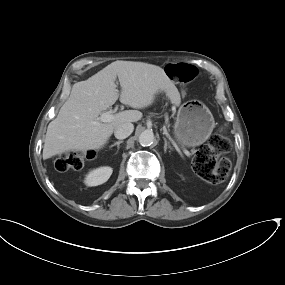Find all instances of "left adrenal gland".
Returning <instances> with one entry per match:
<instances>
[{
	"mask_svg": "<svg viewBox=\"0 0 285 285\" xmlns=\"http://www.w3.org/2000/svg\"><path fill=\"white\" fill-rule=\"evenodd\" d=\"M172 149V147L169 145V143L167 142L166 138H164V152L166 153L167 149Z\"/></svg>",
	"mask_w": 285,
	"mask_h": 285,
	"instance_id": "a2214340",
	"label": "left adrenal gland"
}]
</instances>
